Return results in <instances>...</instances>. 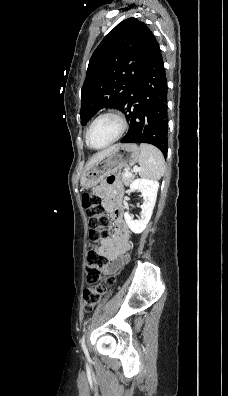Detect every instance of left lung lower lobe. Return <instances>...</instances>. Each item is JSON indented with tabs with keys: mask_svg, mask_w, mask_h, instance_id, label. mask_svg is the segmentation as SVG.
Returning <instances> with one entry per match:
<instances>
[{
	"mask_svg": "<svg viewBox=\"0 0 228 396\" xmlns=\"http://www.w3.org/2000/svg\"><path fill=\"white\" fill-rule=\"evenodd\" d=\"M156 41L120 111L130 121L121 143H149L167 156V79Z\"/></svg>",
	"mask_w": 228,
	"mask_h": 396,
	"instance_id": "obj_1",
	"label": "left lung lower lobe"
}]
</instances>
